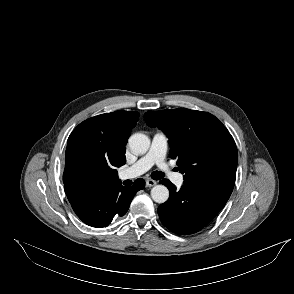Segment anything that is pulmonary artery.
Returning a JSON list of instances; mask_svg holds the SVG:
<instances>
[{
  "mask_svg": "<svg viewBox=\"0 0 294 294\" xmlns=\"http://www.w3.org/2000/svg\"><path fill=\"white\" fill-rule=\"evenodd\" d=\"M168 150V138L162 132L153 135L148 152L132 166L123 169L120 173L121 179H130L147 172L154 165L158 166L166 175L171 177L177 185H182L184 178L181 173L173 172L166 162Z\"/></svg>",
  "mask_w": 294,
  "mask_h": 294,
  "instance_id": "obj_1",
  "label": "pulmonary artery"
}]
</instances>
